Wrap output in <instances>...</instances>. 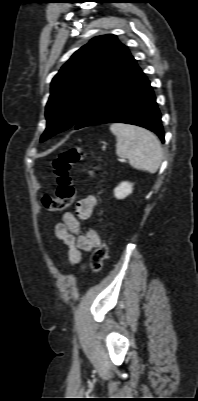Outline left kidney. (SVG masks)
<instances>
[{"instance_id":"1","label":"left kidney","mask_w":198,"mask_h":401,"mask_svg":"<svg viewBox=\"0 0 198 401\" xmlns=\"http://www.w3.org/2000/svg\"><path fill=\"white\" fill-rule=\"evenodd\" d=\"M133 191V184L129 182H121L115 189L114 195L117 199H123L131 194Z\"/></svg>"}]
</instances>
